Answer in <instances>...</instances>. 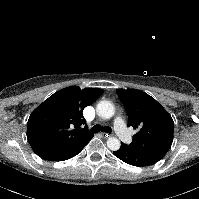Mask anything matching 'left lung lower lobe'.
Instances as JSON below:
<instances>
[{"mask_svg": "<svg viewBox=\"0 0 199 199\" xmlns=\"http://www.w3.org/2000/svg\"><path fill=\"white\" fill-rule=\"evenodd\" d=\"M113 154L125 163L134 166H149L159 161V159L136 151L124 143H121V147L114 151Z\"/></svg>", "mask_w": 199, "mask_h": 199, "instance_id": "0a47b994", "label": "left lung lower lobe"}]
</instances>
